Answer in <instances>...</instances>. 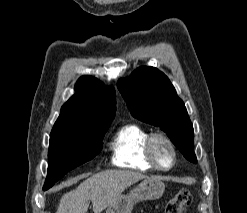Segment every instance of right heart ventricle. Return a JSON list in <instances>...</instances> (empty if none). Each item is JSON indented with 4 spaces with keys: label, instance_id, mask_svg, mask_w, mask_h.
Returning a JSON list of instances; mask_svg holds the SVG:
<instances>
[{
    "label": "right heart ventricle",
    "instance_id": "right-heart-ventricle-1",
    "mask_svg": "<svg viewBox=\"0 0 247 213\" xmlns=\"http://www.w3.org/2000/svg\"><path fill=\"white\" fill-rule=\"evenodd\" d=\"M150 133L135 123L122 125L114 134L110 148L114 165L137 171H153L145 153V143Z\"/></svg>",
    "mask_w": 247,
    "mask_h": 213
}]
</instances>
